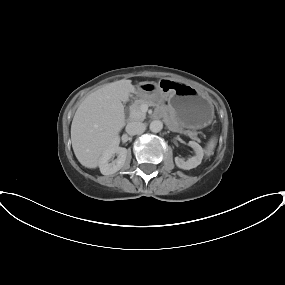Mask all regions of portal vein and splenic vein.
Segmentation results:
<instances>
[{"instance_id":"18ae733b","label":"portal vein and splenic vein","mask_w":285,"mask_h":285,"mask_svg":"<svg viewBox=\"0 0 285 285\" xmlns=\"http://www.w3.org/2000/svg\"><path fill=\"white\" fill-rule=\"evenodd\" d=\"M147 110H148V106L146 104H143L140 108L141 113H144V114H146Z\"/></svg>"}]
</instances>
